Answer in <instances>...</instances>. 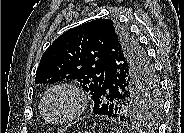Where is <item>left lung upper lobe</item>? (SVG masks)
<instances>
[{"instance_id":"5c2ea615","label":"left lung upper lobe","mask_w":184,"mask_h":133,"mask_svg":"<svg viewBox=\"0 0 184 133\" xmlns=\"http://www.w3.org/2000/svg\"><path fill=\"white\" fill-rule=\"evenodd\" d=\"M109 59H117L127 76L128 94L118 118L128 124H148L160 112L158 81L145 51L116 20H92L60 35L43 53L35 83L73 79L93 98L105 80ZM142 81L152 86V95L143 91Z\"/></svg>"}]
</instances>
